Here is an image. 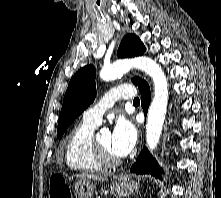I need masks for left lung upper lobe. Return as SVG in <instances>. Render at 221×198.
<instances>
[{
  "instance_id": "left-lung-upper-lobe-1",
  "label": "left lung upper lobe",
  "mask_w": 221,
  "mask_h": 198,
  "mask_svg": "<svg viewBox=\"0 0 221 198\" xmlns=\"http://www.w3.org/2000/svg\"><path fill=\"white\" fill-rule=\"evenodd\" d=\"M145 46L134 34H127L121 41L117 56L121 58L144 54ZM132 82L138 87L145 82L134 77ZM96 96L95 68L85 66L70 80L64 96L62 109L58 120L57 137L60 139L68 126L94 101Z\"/></svg>"
}]
</instances>
